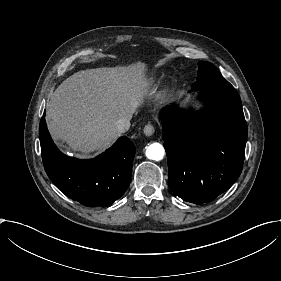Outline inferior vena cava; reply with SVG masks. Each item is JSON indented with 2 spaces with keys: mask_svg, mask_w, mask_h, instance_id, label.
I'll return each mask as SVG.
<instances>
[{
  "mask_svg": "<svg viewBox=\"0 0 281 281\" xmlns=\"http://www.w3.org/2000/svg\"><path fill=\"white\" fill-rule=\"evenodd\" d=\"M116 128L120 133H125L130 128L129 118H122L116 122Z\"/></svg>",
  "mask_w": 281,
  "mask_h": 281,
  "instance_id": "1",
  "label": "inferior vena cava"
}]
</instances>
